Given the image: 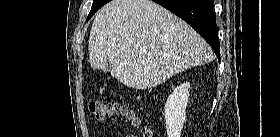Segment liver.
I'll return each instance as SVG.
<instances>
[{"label":"liver","instance_id":"6515ba94","mask_svg":"<svg viewBox=\"0 0 280 137\" xmlns=\"http://www.w3.org/2000/svg\"><path fill=\"white\" fill-rule=\"evenodd\" d=\"M93 69L122 84L149 89L213 60L206 41L186 22L151 0H113L96 14L88 41Z\"/></svg>","mask_w":280,"mask_h":137}]
</instances>
